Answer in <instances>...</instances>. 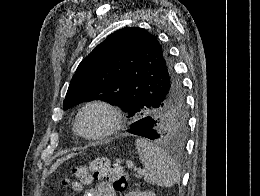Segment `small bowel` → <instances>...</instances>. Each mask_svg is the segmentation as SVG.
I'll return each instance as SVG.
<instances>
[{
    "mask_svg": "<svg viewBox=\"0 0 260 196\" xmlns=\"http://www.w3.org/2000/svg\"><path fill=\"white\" fill-rule=\"evenodd\" d=\"M116 192L110 182L104 180L91 187L85 193V196H116Z\"/></svg>",
    "mask_w": 260,
    "mask_h": 196,
    "instance_id": "obj_1",
    "label": "small bowel"
}]
</instances>
